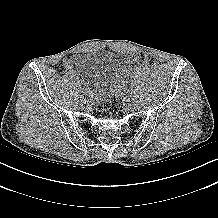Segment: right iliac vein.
Here are the masks:
<instances>
[{
  "mask_svg": "<svg viewBox=\"0 0 218 218\" xmlns=\"http://www.w3.org/2000/svg\"><path fill=\"white\" fill-rule=\"evenodd\" d=\"M81 95H83L85 98L88 96V95L86 94V90H81Z\"/></svg>",
  "mask_w": 218,
  "mask_h": 218,
  "instance_id": "63e3f726",
  "label": "right iliac vein"
}]
</instances>
